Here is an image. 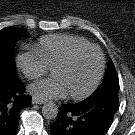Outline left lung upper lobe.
<instances>
[{"label": "left lung upper lobe", "instance_id": "left-lung-upper-lobe-1", "mask_svg": "<svg viewBox=\"0 0 135 135\" xmlns=\"http://www.w3.org/2000/svg\"><path fill=\"white\" fill-rule=\"evenodd\" d=\"M119 80L112 60H109L108 69L103 83L88 98L106 97L109 94L118 96Z\"/></svg>", "mask_w": 135, "mask_h": 135}]
</instances>
